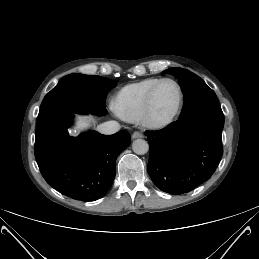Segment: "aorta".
Returning a JSON list of instances; mask_svg holds the SVG:
<instances>
[{
  "label": "aorta",
  "instance_id": "obj_1",
  "mask_svg": "<svg viewBox=\"0 0 259 259\" xmlns=\"http://www.w3.org/2000/svg\"><path fill=\"white\" fill-rule=\"evenodd\" d=\"M132 150L138 155H144L149 150V144L144 139H136L132 143Z\"/></svg>",
  "mask_w": 259,
  "mask_h": 259
}]
</instances>
